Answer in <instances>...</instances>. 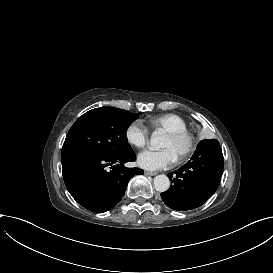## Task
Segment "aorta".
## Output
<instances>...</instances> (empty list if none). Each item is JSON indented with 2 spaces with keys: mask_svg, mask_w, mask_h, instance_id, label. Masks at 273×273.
Here are the masks:
<instances>
[{
  "mask_svg": "<svg viewBox=\"0 0 273 273\" xmlns=\"http://www.w3.org/2000/svg\"><path fill=\"white\" fill-rule=\"evenodd\" d=\"M149 143H150L151 147L154 149H158L161 147L162 137L159 134V132L155 131L152 133ZM154 187L158 192L167 191L170 187L169 178L164 174L157 175L154 178Z\"/></svg>",
  "mask_w": 273,
  "mask_h": 273,
  "instance_id": "762f6f07",
  "label": "aorta"
}]
</instances>
